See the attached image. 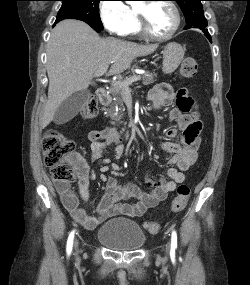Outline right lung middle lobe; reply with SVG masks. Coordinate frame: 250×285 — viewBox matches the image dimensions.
Returning a JSON list of instances; mask_svg holds the SVG:
<instances>
[{
    "label": "right lung middle lobe",
    "instance_id": "dd1d6c3e",
    "mask_svg": "<svg viewBox=\"0 0 250 285\" xmlns=\"http://www.w3.org/2000/svg\"><path fill=\"white\" fill-rule=\"evenodd\" d=\"M62 6L58 12L55 24L63 19H78L89 24L100 32L103 25L99 16V2L101 0H61Z\"/></svg>",
    "mask_w": 250,
    "mask_h": 285
}]
</instances>
